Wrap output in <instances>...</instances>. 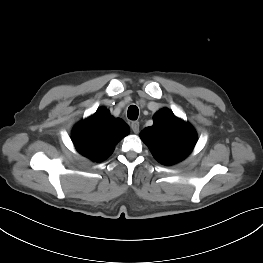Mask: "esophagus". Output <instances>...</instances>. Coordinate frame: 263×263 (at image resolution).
<instances>
[{
  "mask_svg": "<svg viewBox=\"0 0 263 263\" xmlns=\"http://www.w3.org/2000/svg\"><path fill=\"white\" fill-rule=\"evenodd\" d=\"M131 129L133 130L134 133H139V122L133 121L131 123Z\"/></svg>",
  "mask_w": 263,
  "mask_h": 263,
  "instance_id": "obj_1",
  "label": "esophagus"
}]
</instances>
